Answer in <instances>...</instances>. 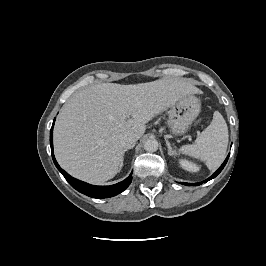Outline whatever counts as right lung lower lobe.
Instances as JSON below:
<instances>
[{
    "label": "right lung lower lobe",
    "instance_id": "obj_1",
    "mask_svg": "<svg viewBox=\"0 0 266 266\" xmlns=\"http://www.w3.org/2000/svg\"><path fill=\"white\" fill-rule=\"evenodd\" d=\"M55 119L53 121L52 128L50 130V145H51V153L55 166L65 177L67 182L77 191L93 198H109L113 197L121 192H123L132 181V173L122 182L111 186H95L88 184L86 182L77 180L70 176L67 172H65L57 163L54 154H53V127H54Z\"/></svg>",
    "mask_w": 266,
    "mask_h": 266
}]
</instances>
